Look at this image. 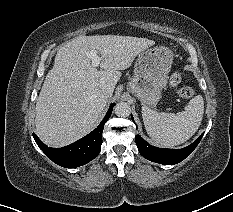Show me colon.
<instances>
[{"instance_id":"colon-1","label":"colon","mask_w":233,"mask_h":212,"mask_svg":"<svg viewBox=\"0 0 233 212\" xmlns=\"http://www.w3.org/2000/svg\"><path fill=\"white\" fill-rule=\"evenodd\" d=\"M183 75L180 72H175L170 77V86L176 90V93L185 99L192 98L195 94L191 87H180Z\"/></svg>"}]
</instances>
